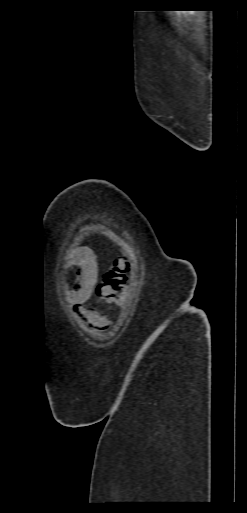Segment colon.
Here are the masks:
<instances>
[{
	"instance_id": "obj_1",
	"label": "colon",
	"mask_w": 247,
	"mask_h": 513,
	"mask_svg": "<svg viewBox=\"0 0 247 513\" xmlns=\"http://www.w3.org/2000/svg\"><path fill=\"white\" fill-rule=\"evenodd\" d=\"M127 262L123 259L115 260L112 267L101 275L95 287V292L103 299L116 302L124 292L126 283Z\"/></svg>"
}]
</instances>
